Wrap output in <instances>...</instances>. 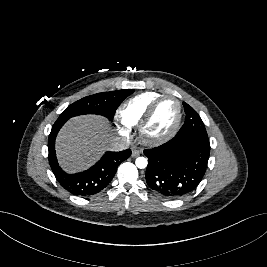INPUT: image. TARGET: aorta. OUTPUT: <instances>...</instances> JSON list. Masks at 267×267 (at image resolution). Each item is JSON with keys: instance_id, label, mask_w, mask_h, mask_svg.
Instances as JSON below:
<instances>
[{"instance_id": "762f6f07", "label": "aorta", "mask_w": 267, "mask_h": 267, "mask_svg": "<svg viewBox=\"0 0 267 267\" xmlns=\"http://www.w3.org/2000/svg\"><path fill=\"white\" fill-rule=\"evenodd\" d=\"M135 164L139 169H144L147 167L148 161L145 157H138L135 160Z\"/></svg>"}]
</instances>
